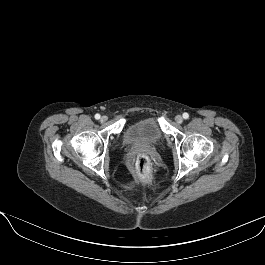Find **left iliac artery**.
Returning <instances> with one entry per match:
<instances>
[{
  "mask_svg": "<svg viewBox=\"0 0 265 265\" xmlns=\"http://www.w3.org/2000/svg\"><path fill=\"white\" fill-rule=\"evenodd\" d=\"M183 118H184V119H188V118H189V114H188V113H184V114H183Z\"/></svg>",
  "mask_w": 265,
  "mask_h": 265,
  "instance_id": "1",
  "label": "left iliac artery"
}]
</instances>
